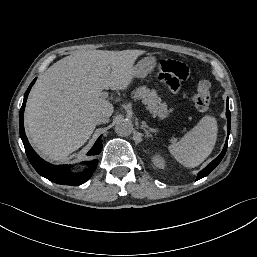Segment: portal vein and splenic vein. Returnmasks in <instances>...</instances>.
I'll return each instance as SVG.
<instances>
[{
    "label": "portal vein and splenic vein",
    "instance_id": "obj_1",
    "mask_svg": "<svg viewBox=\"0 0 257 257\" xmlns=\"http://www.w3.org/2000/svg\"><path fill=\"white\" fill-rule=\"evenodd\" d=\"M101 95H102V97H104V98H107V97H108V93H107V92H102Z\"/></svg>",
    "mask_w": 257,
    "mask_h": 257
}]
</instances>
